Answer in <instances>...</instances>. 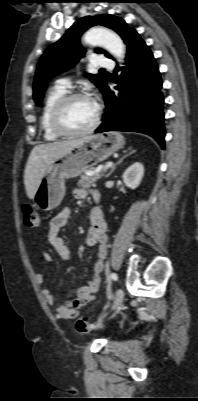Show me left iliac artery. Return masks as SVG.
<instances>
[{"instance_id": "44dca946", "label": "left iliac artery", "mask_w": 198, "mask_h": 401, "mask_svg": "<svg viewBox=\"0 0 198 401\" xmlns=\"http://www.w3.org/2000/svg\"><path fill=\"white\" fill-rule=\"evenodd\" d=\"M110 277H111V279H113L115 281L117 280V275L115 273H111Z\"/></svg>"}]
</instances>
